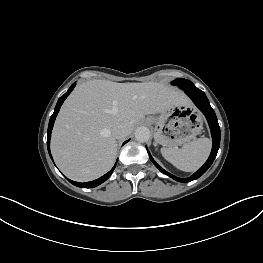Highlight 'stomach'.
<instances>
[{"mask_svg": "<svg viewBox=\"0 0 263 263\" xmlns=\"http://www.w3.org/2000/svg\"><path fill=\"white\" fill-rule=\"evenodd\" d=\"M146 122L155 126V142L167 148L189 142L203 129L201 115L188 102L171 107L159 116H150Z\"/></svg>", "mask_w": 263, "mask_h": 263, "instance_id": "stomach-1", "label": "stomach"}]
</instances>
